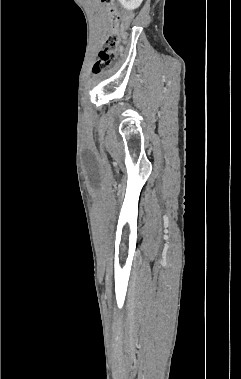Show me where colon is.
I'll return each instance as SVG.
<instances>
[{
	"instance_id": "1",
	"label": "colon",
	"mask_w": 241,
	"mask_h": 379,
	"mask_svg": "<svg viewBox=\"0 0 241 379\" xmlns=\"http://www.w3.org/2000/svg\"><path fill=\"white\" fill-rule=\"evenodd\" d=\"M105 6L106 12L112 23L122 21L123 25H127V29H132V19H134V14H132L131 8H118L115 5V0H100ZM120 43V34L117 30L110 32L105 40L103 41L102 47L98 54V59L94 65V72L99 73L109 66L116 57V51Z\"/></svg>"
}]
</instances>
